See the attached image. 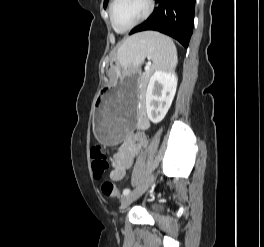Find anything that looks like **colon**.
Segmentation results:
<instances>
[{"label": "colon", "mask_w": 264, "mask_h": 247, "mask_svg": "<svg viewBox=\"0 0 264 247\" xmlns=\"http://www.w3.org/2000/svg\"><path fill=\"white\" fill-rule=\"evenodd\" d=\"M90 156L93 175L101 178L109 166L108 153L102 146L95 145L90 150ZM101 191L106 197H117L119 194L116 185L109 180L101 183Z\"/></svg>", "instance_id": "1"}]
</instances>
